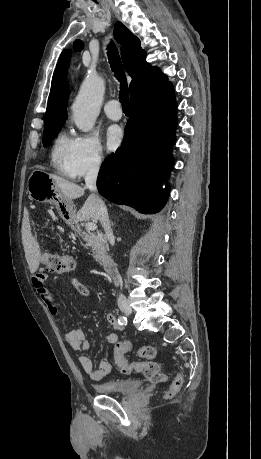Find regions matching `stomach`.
Masks as SVG:
<instances>
[{
    "label": "stomach",
    "mask_w": 261,
    "mask_h": 459,
    "mask_svg": "<svg viewBox=\"0 0 261 459\" xmlns=\"http://www.w3.org/2000/svg\"><path fill=\"white\" fill-rule=\"evenodd\" d=\"M27 191L33 200L57 205L65 220L68 218L66 215L72 213L71 205L65 201L61 190L50 175L42 170L36 169L31 173L27 182Z\"/></svg>",
    "instance_id": "0dacf381"
}]
</instances>
